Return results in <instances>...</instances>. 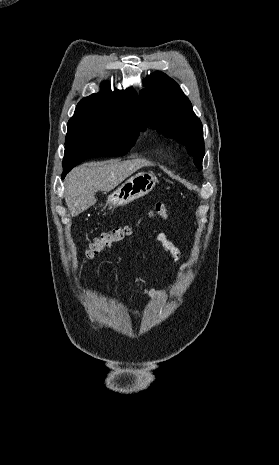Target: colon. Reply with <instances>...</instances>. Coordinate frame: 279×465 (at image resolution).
<instances>
[{"label":"colon","mask_w":279,"mask_h":465,"mask_svg":"<svg viewBox=\"0 0 279 465\" xmlns=\"http://www.w3.org/2000/svg\"><path fill=\"white\" fill-rule=\"evenodd\" d=\"M168 208L163 203H157L151 210L148 211L149 218H166ZM132 232L129 226H119L110 231L103 232L98 235L86 250L85 258L90 260L101 254L103 251L128 237Z\"/></svg>","instance_id":"5ec220e1"}]
</instances>
